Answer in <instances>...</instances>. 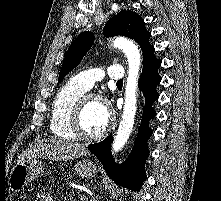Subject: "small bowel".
<instances>
[{
  "mask_svg": "<svg viewBox=\"0 0 221 201\" xmlns=\"http://www.w3.org/2000/svg\"><path fill=\"white\" fill-rule=\"evenodd\" d=\"M34 201H54L53 198L48 193H39L37 194Z\"/></svg>",
  "mask_w": 221,
  "mask_h": 201,
  "instance_id": "c3829d8e",
  "label": "small bowel"
}]
</instances>
